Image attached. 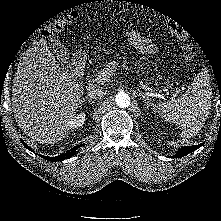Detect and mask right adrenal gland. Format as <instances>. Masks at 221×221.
<instances>
[{
  "instance_id": "obj_1",
  "label": "right adrenal gland",
  "mask_w": 221,
  "mask_h": 221,
  "mask_svg": "<svg viewBox=\"0 0 221 221\" xmlns=\"http://www.w3.org/2000/svg\"><path fill=\"white\" fill-rule=\"evenodd\" d=\"M85 100H88V102H91L92 99L88 98L87 96L83 98V100L80 102V104H82L83 102H85Z\"/></svg>"
}]
</instances>
